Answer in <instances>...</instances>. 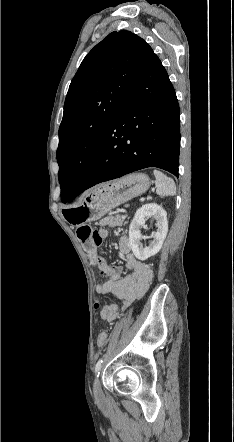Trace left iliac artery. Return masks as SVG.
<instances>
[{
	"label": "left iliac artery",
	"instance_id": "obj_1",
	"mask_svg": "<svg viewBox=\"0 0 234 442\" xmlns=\"http://www.w3.org/2000/svg\"><path fill=\"white\" fill-rule=\"evenodd\" d=\"M102 362H103V360L99 359L98 362L96 363V366H95V373L98 374V375H99V371L101 369Z\"/></svg>",
	"mask_w": 234,
	"mask_h": 442
}]
</instances>
